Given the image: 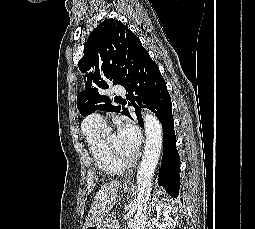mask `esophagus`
<instances>
[{"label":"esophagus","instance_id":"1","mask_svg":"<svg viewBox=\"0 0 255 229\" xmlns=\"http://www.w3.org/2000/svg\"><path fill=\"white\" fill-rule=\"evenodd\" d=\"M124 185L125 186H130V185H132V182L131 181H126Z\"/></svg>","mask_w":255,"mask_h":229}]
</instances>
